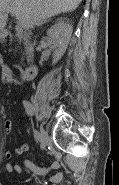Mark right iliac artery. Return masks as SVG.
Here are the masks:
<instances>
[{
    "instance_id": "right-iliac-artery-1",
    "label": "right iliac artery",
    "mask_w": 119,
    "mask_h": 185,
    "mask_svg": "<svg viewBox=\"0 0 119 185\" xmlns=\"http://www.w3.org/2000/svg\"><path fill=\"white\" fill-rule=\"evenodd\" d=\"M23 106L27 112L28 115H30L29 117L30 118H35L36 116L34 115L33 113V107L32 105L30 104V102L24 100L23 101ZM34 137L37 141H40L41 140V137H40V133L37 131V130H34Z\"/></svg>"
}]
</instances>
